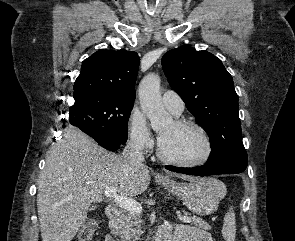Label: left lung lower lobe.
Returning <instances> with one entry per match:
<instances>
[{
    "label": "left lung lower lobe",
    "mask_w": 295,
    "mask_h": 241,
    "mask_svg": "<svg viewBox=\"0 0 295 241\" xmlns=\"http://www.w3.org/2000/svg\"><path fill=\"white\" fill-rule=\"evenodd\" d=\"M166 169L174 172L184 173L188 175L207 176L217 174H237L243 172L245 169L236 168L221 164H204L194 168H180L174 166H165Z\"/></svg>",
    "instance_id": "0a47b994"
}]
</instances>
